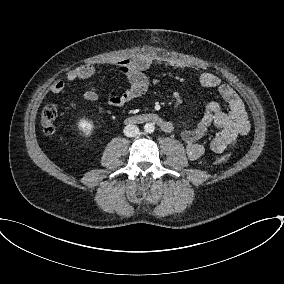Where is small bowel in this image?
Returning a JSON list of instances; mask_svg holds the SVG:
<instances>
[{
    "label": "small bowel",
    "mask_w": 284,
    "mask_h": 284,
    "mask_svg": "<svg viewBox=\"0 0 284 284\" xmlns=\"http://www.w3.org/2000/svg\"><path fill=\"white\" fill-rule=\"evenodd\" d=\"M113 66L127 81V86L121 95L111 96L107 99L108 105L113 107H121L147 92L151 81L145 72L150 68L179 67L178 64L169 61L167 58L146 54L114 63ZM95 72V67L92 65H80L71 70L66 75L65 80L56 81L51 86V92L56 95L61 94L66 83L77 79L90 78L94 76ZM196 76L203 87L218 91L219 95L227 103L228 110L225 112L217 102H209L198 125L193 129H186L181 132L186 154L191 160H197L203 156L205 148L201 141L211 128L216 129V134L210 142V147L218 154L225 153L250 131V122L245 104L236 91L214 73L197 71ZM83 98L87 102L97 101L98 93L96 88L88 87L83 94Z\"/></svg>",
    "instance_id": "1"
}]
</instances>
